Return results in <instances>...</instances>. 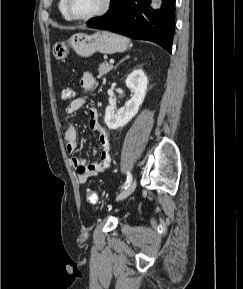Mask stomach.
Returning <instances> with one entry per match:
<instances>
[{
	"instance_id": "obj_1",
	"label": "stomach",
	"mask_w": 243,
	"mask_h": 289,
	"mask_svg": "<svg viewBox=\"0 0 243 289\" xmlns=\"http://www.w3.org/2000/svg\"><path fill=\"white\" fill-rule=\"evenodd\" d=\"M127 37L108 31H97L91 35L75 33L68 41L57 42L52 47V54L57 60H64L71 47L79 56L89 57L95 52L113 54L123 52L130 47Z\"/></svg>"
}]
</instances>
